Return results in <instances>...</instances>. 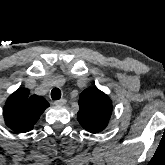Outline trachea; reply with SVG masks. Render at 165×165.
I'll use <instances>...</instances> for the list:
<instances>
[{
  "label": "trachea",
  "mask_w": 165,
  "mask_h": 165,
  "mask_svg": "<svg viewBox=\"0 0 165 165\" xmlns=\"http://www.w3.org/2000/svg\"><path fill=\"white\" fill-rule=\"evenodd\" d=\"M51 98L53 100H59L61 98V91L58 88H54L51 91Z\"/></svg>",
  "instance_id": "obj_1"
}]
</instances>
